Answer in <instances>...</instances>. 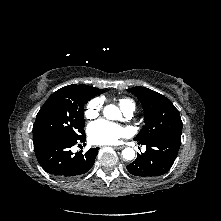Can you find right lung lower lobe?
<instances>
[{
    "instance_id": "obj_1",
    "label": "right lung lower lobe",
    "mask_w": 221,
    "mask_h": 221,
    "mask_svg": "<svg viewBox=\"0 0 221 221\" xmlns=\"http://www.w3.org/2000/svg\"><path fill=\"white\" fill-rule=\"evenodd\" d=\"M85 135L74 141L55 140L34 148L42 168L59 178H75L86 173L95 162L99 148H91L84 154H73L70 148L85 141Z\"/></svg>"
}]
</instances>
